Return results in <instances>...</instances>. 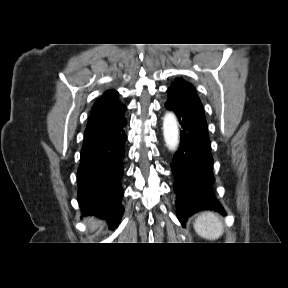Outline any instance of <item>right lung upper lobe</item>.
Masks as SVG:
<instances>
[{
  "instance_id": "obj_1",
  "label": "right lung upper lobe",
  "mask_w": 288,
  "mask_h": 288,
  "mask_svg": "<svg viewBox=\"0 0 288 288\" xmlns=\"http://www.w3.org/2000/svg\"><path fill=\"white\" fill-rule=\"evenodd\" d=\"M118 93L109 90L92 107L88 125L84 134L83 147L104 142L118 133L126 122V106L117 98Z\"/></svg>"
}]
</instances>
